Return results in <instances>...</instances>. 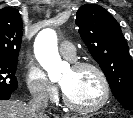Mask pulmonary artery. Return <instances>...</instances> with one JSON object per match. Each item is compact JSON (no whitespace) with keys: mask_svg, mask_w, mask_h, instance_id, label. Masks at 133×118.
<instances>
[{"mask_svg":"<svg viewBox=\"0 0 133 118\" xmlns=\"http://www.w3.org/2000/svg\"><path fill=\"white\" fill-rule=\"evenodd\" d=\"M59 51L62 56L69 60H73L75 58V46L70 42H62L59 46Z\"/></svg>","mask_w":133,"mask_h":118,"instance_id":"pulmonary-artery-1","label":"pulmonary artery"}]
</instances>
